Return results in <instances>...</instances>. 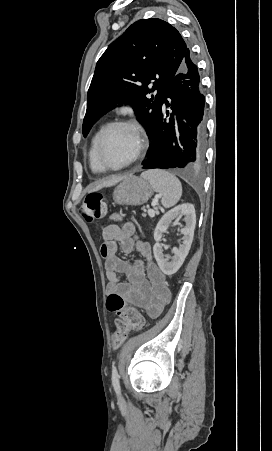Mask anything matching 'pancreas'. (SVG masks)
<instances>
[{
	"instance_id": "1",
	"label": "pancreas",
	"mask_w": 272,
	"mask_h": 451,
	"mask_svg": "<svg viewBox=\"0 0 272 451\" xmlns=\"http://www.w3.org/2000/svg\"><path fill=\"white\" fill-rule=\"evenodd\" d=\"M143 218H146V214H142Z\"/></svg>"
}]
</instances>
